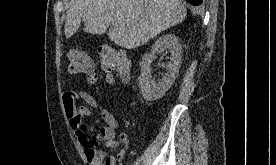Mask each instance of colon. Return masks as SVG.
<instances>
[{"instance_id":"obj_1","label":"colon","mask_w":276,"mask_h":165,"mask_svg":"<svg viewBox=\"0 0 276 165\" xmlns=\"http://www.w3.org/2000/svg\"><path fill=\"white\" fill-rule=\"evenodd\" d=\"M68 59L71 73L83 75L90 82L96 80L93 60L86 52L71 50ZM99 60L103 70L108 74L110 82L113 81V73H117L124 81L129 80V62L122 51L111 46H102L99 48Z\"/></svg>"}]
</instances>
